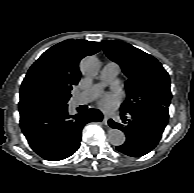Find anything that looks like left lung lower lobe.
Returning a JSON list of instances; mask_svg holds the SVG:
<instances>
[{
  "label": "left lung lower lobe",
  "instance_id": "1",
  "mask_svg": "<svg viewBox=\"0 0 194 193\" xmlns=\"http://www.w3.org/2000/svg\"><path fill=\"white\" fill-rule=\"evenodd\" d=\"M124 125L114 122L108 124L112 128L122 130L126 135L124 144L116 149L128 156L139 157L149 153L156 147L168 123V109L121 110Z\"/></svg>",
  "mask_w": 194,
  "mask_h": 193
}]
</instances>
